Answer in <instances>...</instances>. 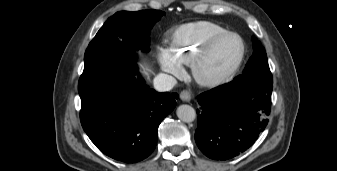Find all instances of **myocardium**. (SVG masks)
<instances>
[{"label": "myocardium", "mask_w": 337, "mask_h": 171, "mask_svg": "<svg viewBox=\"0 0 337 171\" xmlns=\"http://www.w3.org/2000/svg\"><path fill=\"white\" fill-rule=\"evenodd\" d=\"M235 37L238 39L240 43V54L236 62L230 67L228 71H226L223 75L219 77H209L203 74L202 65L206 60L207 56L214 49V47L219 44L221 41L229 38ZM246 55V47L244 40L242 37L232 31H226L220 35H217L207 41L202 48L198 51V53L193 58L190 69L191 74L194 80L201 86L208 88H217L223 86L231 81V79L235 76L239 68L241 67Z\"/></svg>", "instance_id": "myocardium-1"}]
</instances>
